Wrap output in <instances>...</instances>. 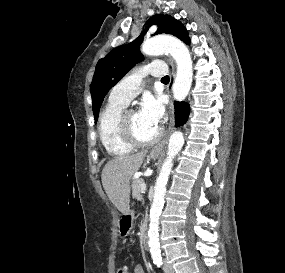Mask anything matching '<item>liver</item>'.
<instances>
[{"label": "liver", "instance_id": "6515ba94", "mask_svg": "<svg viewBox=\"0 0 285 273\" xmlns=\"http://www.w3.org/2000/svg\"><path fill=\"white\" fill-rule=\"evenodd\" d=\"M147 151L118 156L107 162L102 170V185L110 201L123 214L130 211V180L139 170Z\"/></svg>", "mask_w": 285, "mask_h": 273}]
</instances>
